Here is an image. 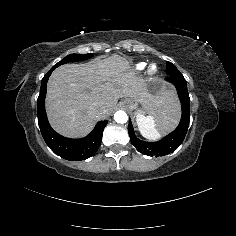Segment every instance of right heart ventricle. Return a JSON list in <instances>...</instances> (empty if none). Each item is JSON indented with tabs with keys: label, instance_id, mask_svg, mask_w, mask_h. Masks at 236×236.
Wrapping results in <instances>:
<instances>
[{
	"label": "right heart ventricle",
	"instance_id": "1",
	"mask_svg": "<svg viewBox=\"0 0 236 236\" xmlns=\"http://www.w3.org/2000/svg\"><path fill=\"white\" fill-rule=\"evenodd\" d=\"M145 66H146V64L143 63V62L138 63V64H136V66H135V70H136L137 72H140V71L144 70Z\"/></svg>",
	"mask_w": 236,
	"mask_h": 236
}]
</instances>
